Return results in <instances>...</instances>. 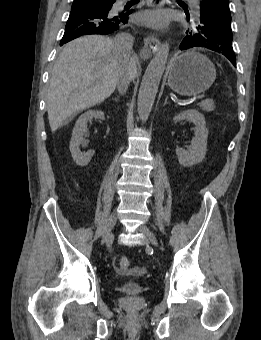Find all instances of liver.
<instances>
[{"mask_svg": "<svg viewBox=\"0 0 261 340\" xmlns=\"http://www.w3.org/2000/svg\"><path fill=\"white\" fill-rule=\"evenodd\" d=\"M125 70H130L134 79L136 60L122 57L109 37L88 35L68 43L49 81L47 112L51 131L55 132L68 117L107 99Z\"/></svg>", "mask_w": 261, "mask_h": 340, "instance_id": "liver-1", "label": "liver"}]
</instances>
